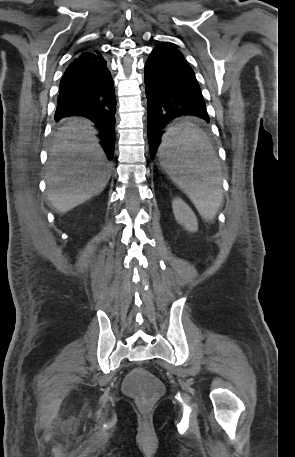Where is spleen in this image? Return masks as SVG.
Returning a JSON list of instances; mask_svg holds the SVG:
<instances>
[{
    "label": "spleen",
    "mask_w": 295,
    "mask_h": 457,
    "mask_svg": "<svg viewBox=\"0 0 295 457\" xmlns=\"http://www.w3.org/2000/svg\"><path fill=\"white\" fill-rule=\"evenodd\" d=\"M210 148L208 137L191 123L170 127L159 148L162 167L184 190L206 220H213L222 202L221 176L216 162H200L194 153Z\"/></svg>",
    "instance_id": "obj_1"
}]
</instances>
